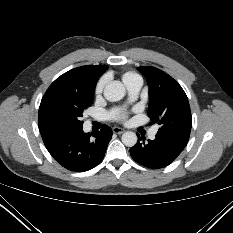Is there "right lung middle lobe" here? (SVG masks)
<instances>
[{
    "mask_svg": "<svg viewBox=\"0 0 233 233\" xmlns=\"http://www.w3.org/2000/svg\"><path fill=\"white\" fill-rule=\"evenodd\" d=\"M94 90L72 92L53 99L46 107L48 124L61 132H67L82 127L83 111L91 106Z\"/></svg>",
    "mask_w": 233,
    "mask_h": 233,
    "instance_id": "dd1d6c3e",
    "label": "right lung middle lobe"
}]
</instances>
